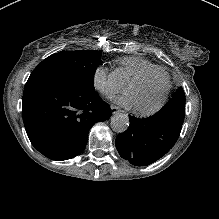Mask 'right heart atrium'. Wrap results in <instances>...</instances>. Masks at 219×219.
Masks as SVG:
<instances>
[{"label": "right heart atrium", "mask_w": 219, "mask_h": 219, "mask_svg": "<svg viewBox=\"0 0 219 219\" xmlns=\"http://www.w3.org/2000/svg\"><path fill=\"white\" fill-rule=\"evenodd\" d=\"M95 81L98 86L104 85L108 92H118L121 84L117 75H109L106 68L99 67L95 74Z\"/></svg>", "instance_id": "right-heart-atrium-1"}]
</instances>
